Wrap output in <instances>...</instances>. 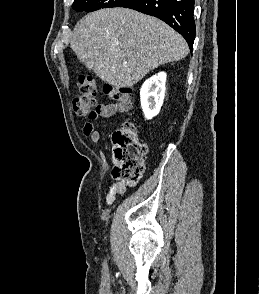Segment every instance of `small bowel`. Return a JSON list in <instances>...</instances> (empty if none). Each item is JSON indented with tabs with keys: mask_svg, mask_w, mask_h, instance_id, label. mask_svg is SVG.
<instances>
[{
	"mask_svg": "<svg viewBox=\"0 0 259 294\" xmlns=\"http://www.w3.org/2000/svg\"><path fill=\"white\" fill-rule=\"evenodd\" d=\"M127 111V105L120 102H113L108 104H100L97 106L95 110V114L93 117L89 118V121L86 122L83 126V133L86 137L90 138V140L98 144L101 142L102 133L100 130L95 129L93 125V121L98 118H108L114 116L116 114H121ZM103 165L106 170H108V165L102 156ZM126 192L125 184L122 182H115L111 185L108 193L106 194L105 201L108 205L113 204L116 199V196H123Z\"/></svg>",
	"mask_w": 259,
	"mask_h": 294,
	"instance_id": "1",
	"label": "small bowel"
}]
</instances>
